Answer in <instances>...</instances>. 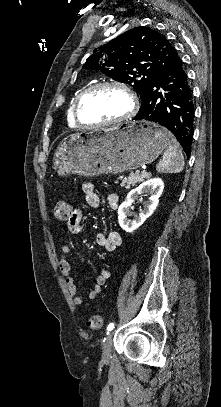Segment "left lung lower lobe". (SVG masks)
I'll list each match as a JSON object with an SVG mask.
<instances>
[{"label": "left lung lower lobe", "instance_id": "left-lung-lower-lobe-1", "mask_svg": "<svg viewBox=\"0 0 221 407\" xmlns=\"http://www.w3.org/2000/svg\"><path fill=\"white\" fill-rule=\"evenodd\" d=\"M141 99V108L133 119L156 122L170 130L189 157L194 132L193 91L174 47L171 58L151 79Z\"/></svg>", "mask_w": 221, "mask_h": 407}]
</instances>
